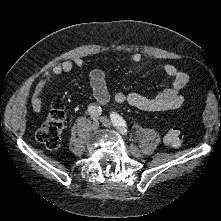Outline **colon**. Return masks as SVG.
<instances>
[{"label":"colon","instance_id":"obj_1","mask_svg":"<svg viewBox=\"0 0 221 221\" xmlns=\"http://www.w3.org/2000/svg\"><path fill=\"white\" fill-rule=\"evenodd\" d=\"M66 119L65 106L61 100H56L49 110L46 120L36 132V139L48 149L59 147ZM164 140L167 145L178 148L183 142V131L178 126H172L166 133Z\"/></svg>","mask_w":221,"mask_h":221}]
</instances>
